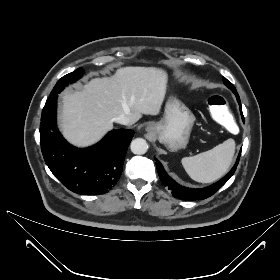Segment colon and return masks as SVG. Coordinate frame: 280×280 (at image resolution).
Wrapping results in <instances>:
<instances>
[{"instance_id":"5ec220e1","label":"colon","mask_w":280,"mask_h":280,"mask_svg":"<svg viewBox=\"0 0 280 280\" xmlns=\"http://www.w3.org/2000/svg\"><path fill=\"white\" fill-rule=\"evenodd\" d=\"M207 105L212 118L230 135H235L239 131V125L232 116L231 110L226 99L222 95H211L207 99Z\"/></svg>"}]
</instances>
